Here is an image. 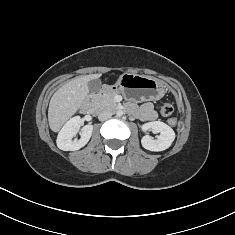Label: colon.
<instances>
[{
  "mask_svg": "<svg viewBox=\"0 0 235 235\" xmlns=\"http://www.w3.org/2000/svg\"><path fill=\"white\" fill-rule=\"evenodd\" d=\"M173 111H174L173 105L171 103H168V102L164 103L161 106V109H160L161 114L165 117L171 116ZM170 124L175 125L176 124V119L175 118L170 119Z\"/></svg>",
  "mask_w": 235,
  "mask_h": 235,
  "instance_id": "1",
  "label": "colon"
}]
</instances>
